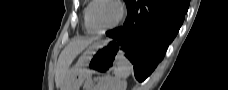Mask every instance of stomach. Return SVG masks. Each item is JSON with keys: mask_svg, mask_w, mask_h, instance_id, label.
<instances>
[{"mask_svg": "<svg viewBox=\"0 0 228 90\" xmlns=\"http://www.w3.org/2000/svg\"><path fill=\"white\" fill-rule=\"evenodd\" d=\"M122 52L114 41L101 40L90 46L78 62L69 69L63 90H79L91 74L108 68H115L117 57Z\"/></svg>", "mask_w": 228, "mask_h": 90, "instance_id": "stomach-1", "label": "stomach"}]
</instances>
